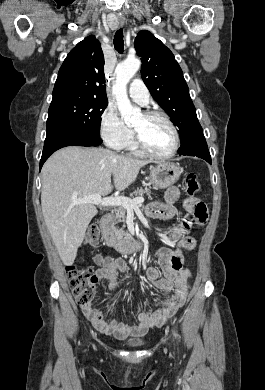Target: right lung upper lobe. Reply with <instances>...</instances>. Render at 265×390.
I'll return each mask as SVG.
<instances>
[{"mask_svg":"<svg viewBox=\"0 0 265 390\" xmlns=\"http://www.w3.org/2000/svg\"><path fill=\"white\" fill-rule=\"evenodd\" d=\"M100 42L88 36L67 55L59 69L53 99L87 97L107 100Z\"/></svg>","mask_w":265,"mask_h":390,"instance_id":"right-lung-upper-lobe-1","label":"right lung upper lobe"}]
</instances>
